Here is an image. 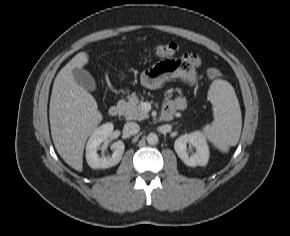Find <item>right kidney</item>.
<instances>
[{
  "label": "right kidney",
  "mask_w": 290,
  "mask_h": 236,
  "mask_svg": "<svg viewBox=\"0 0 290 236\" xmlns=\"http://www.w3.org/2000/svg\"><path fill=\"white\" fill-rule=\"evenodd\" d=\"M114 129L112 123H105L96 128L91 134L86 145V161L93 169H105L117 165L122 159L125 145L119 140L112 144L113 154L111 157H99L97 150L101 143L106 142Z\"/></svg>",
  "instance_id": "obj_1"
}]
</instances>
